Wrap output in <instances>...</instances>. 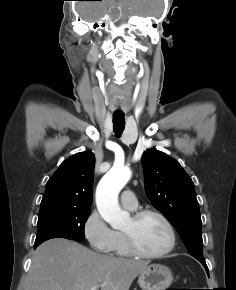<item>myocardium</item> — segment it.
Here are the masks:
<instances>
[{"instance_id": "myocardium-1", "label": "myocardium", "mask_w": 236, "mask_h": 290, "mask_svg": "<svg viewBox=\"0 0 236 290\" xmlns=\"http://www.w3.org/2000/svg\"><path fill=\"white\" fill-rule=\"evenodd\" d=\"M148 215H153V216L158 217L163 222L165 227L167 228V231L169 233V243L164 250L157 252V253L143 252L137 246L135 239H134V236L131 233L122 232V234H123L127 249L132 256L137 257V258H142V259H159V258H162V257H165L166 255H168L175 248L176 232H175V229H174L172 223L167 218V216L165 214H163L161 211L156 210V209L146 208V209L138 210V211L133 213L132 219L135 222H138L142 218H144L145 216H148Z\"/></svg>"}]
</instances>
